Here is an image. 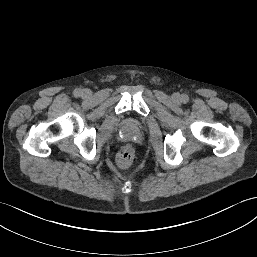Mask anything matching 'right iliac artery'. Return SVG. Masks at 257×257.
Instances as JSON below:
<instances>
[{"label": "right iliac artery", "mask_w": 257, "mask_h": 257, "mask_svg": "<svg viewBox=\"0 0 257 257\" xmlns=\"http://www.w3.org/2000/svg\"><path fill=\"white\" fill-rule=\"evenodd\" d=\"M75 97H79L81 95V90L80 89H75L73 92Z\"/></svg>", "instance_id": "82829eb1"}]
</instances>
